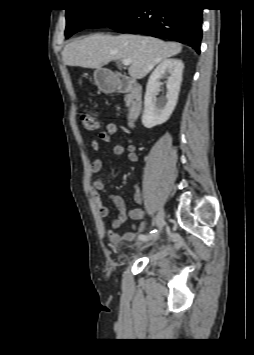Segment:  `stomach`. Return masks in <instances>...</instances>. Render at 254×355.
<instances>
[{
	"label": "stomach",
	"mask_w": 254,
	"mask_h": 355,
	"mask_svg": "<svg viewBox=\"0 0 254 355\" xmlns=\"http://www.w3.org/2000/svg\"><path fill=\"white\" fill-rule=\"evenodd\" d=\"M94 80L96 85L101 89H111L113 84L107 75V72L103 69H97L94 72Z\"/></svg>",
	"instance_id": "1"
}]
</instances>
